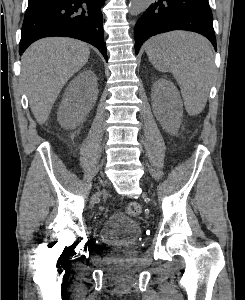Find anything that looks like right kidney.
<instances>
[{
    "instance_id": "ca27d5eb",
    "label": "right kidney",
    "mask_w": 245,
    "mask_h": 300,
    "mask_svg": "<svg viewBox=\"0 0 245 300\" xmlns=\"http://www.w3.org/2000/svg\"><path fill=\"white\" fill-rule=\"evenodd\" d=\"M98 96L97 78L92 70L77 75L67 86L59 105L57 118L60 125L73 129L84 121Z\"/></svg>"
}]
</instances>
